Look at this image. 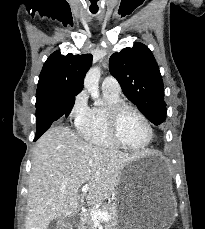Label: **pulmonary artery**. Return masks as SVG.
I'll return each mask as SVG.
<instances>
[{"label": "pulmonary artery", "instance_id": "pulmonary-artery-1", "mask_svg": "<svg viewBox=\"0 0 205 229\" xmlns=\"http://www.w3.org/2000/svg\"><path fill=\"white\" fill-rule=\"evenodd\" d=\"M102 89L115 95H119L121 91L118 81L111 76H108L103 80Z\"/></svg>", "mask_w": 205, "mask_h": 229}]
</instances>
